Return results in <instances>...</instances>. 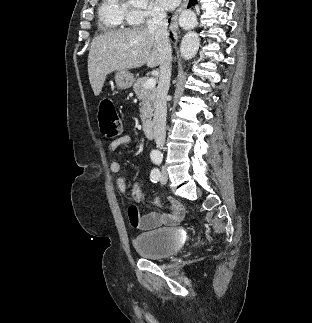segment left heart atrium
<instances>
[{"label":"left heart atrium","mask_w":312,"mask_h":323,"mask_svg":"<svg viewBox=\"0 0 312 323\" xmlns=\"http://www.w3.org/2000/svg\"><path fill=\"white\" fill-rule=\"evenodd\" d=\"M184 0H158L160 7L164 12H175L179 8V4H183Z\"/></svg>","instance_id":"39dd6f15"}]
</instances>
